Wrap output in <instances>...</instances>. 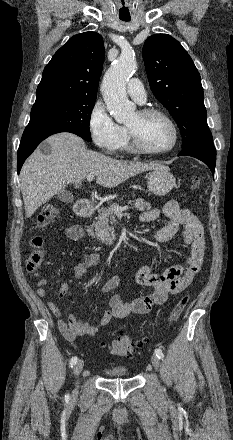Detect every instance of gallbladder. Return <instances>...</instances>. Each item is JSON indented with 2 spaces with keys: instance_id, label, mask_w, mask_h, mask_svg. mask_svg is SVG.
<instances>
[{
  "instance_id": "1",
  "label": "gallbladder",
  "mask_w": 233,
  "mask_h": 440,
  "mask_svg": "<svg viewBox=\"0 0 233 440\" xmlns=\"http://www.w3.org/2000/svg\"><path fill=\"white\" fill-rule=\"evenodd\" d=\"M57 198L64 203H72L74 197L69 191H61L57 194Z\"/></svg>"
}]
</instances>
